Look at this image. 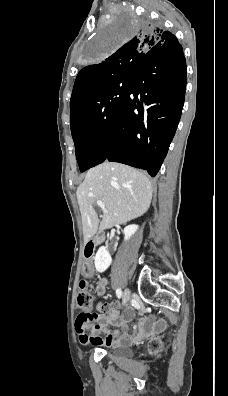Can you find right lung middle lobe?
Returning a JSON list of instances; mask_svg holds the SVG:
<instances>
[{"mask_svg":"<svg viewBox=\"0 0 228 396\" xmlns=\"http://www.w3.org/2000/svg\"><path fill=\"white\" fill-rule=\"evenodd\" d=\"M146 21L127 14L121 22L104 30L92 44L90 57L99 59L108 55ZM131 78L120 79L102 91L74 119L70 120L75 153L81 172L103 162L108 152L112 127L126 100Z\"/></svg>","mask_w":228,"mask_h":396,"instance_id":"obj_1","label":"right lung middle lobe"}]
</instances>
